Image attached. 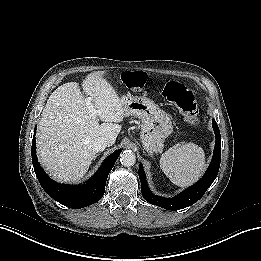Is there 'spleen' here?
Instances as JSON below:
<instances>
[{
	"label": "spleen",
	"mask_w": 261,
	"mask_h": 261,
	"mask_svg": "<svg viewBox=\"0 0 261 261\" xmlns=\"http://www.w3.org/2000/svg\"><path fill=\"white\" fill-rule=\"evenodd\" d=\"M159 164L172 183L184 187L201 177L205 168V153L192 142L176 144L162 154Z\"/></svg>",
	"instance_id": "3e777b00"
}]
</instances>
